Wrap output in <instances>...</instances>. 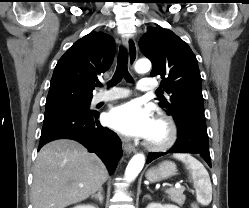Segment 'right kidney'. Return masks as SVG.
<instances>
[{
  "instance_id": "obj_1",
  "label": "right kidney",
  "mask_w": 249,
  "mask_h": 208,
  "mask_svg": "<svg viewBox=\"0 0 249 208\" xmlns=\"http://www.w3.org/2000/svg\"><path fill=\"white\" fill-rule=\"evenodd\" d=\"M74 208H97V207L92 206V205H79V206H76Z\"/></svg>"
}]
</instances>
